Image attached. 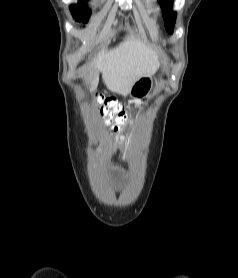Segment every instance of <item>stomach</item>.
<instances>
[{
    "label": "stomach",
    "mask_w": 238,
    "mask_h": 278,
    "mask_svg": "<svg viewBox=\"0 0 238 278\" xmlns=\"http://www.w3.org/2000/svg\"><path fill=\"white\" fill-rule=\"evenodd\" d=\"M153 86V79L151 75H145L138 78L129 91V95L134 99H141L146 97Z\"/></svg>",
    "instance_id": "0dacf381"
}]
</instances>
